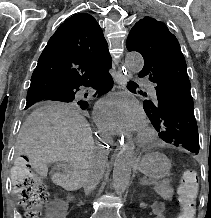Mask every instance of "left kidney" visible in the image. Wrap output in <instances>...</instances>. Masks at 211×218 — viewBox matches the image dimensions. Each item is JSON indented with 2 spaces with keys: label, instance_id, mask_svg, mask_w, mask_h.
<instances>
[{
  "label": "left kidney",
  "instance_id": "1",
  "mask_svg": "<svg viewBox=\"0 0 211 218\" xmlns=\"http://www.w3.org/2000/svg\"><path fill=\"white\" fill-rule=\"evenodd\" d=\"M164 207H166V202H155V207H152L151 215L152 218H163V215H166V210H164ZM138 210H145V205H138Z\"/></svg>",
  "mask_w": 211,
  "mask_h": 218
}]
</instances>
